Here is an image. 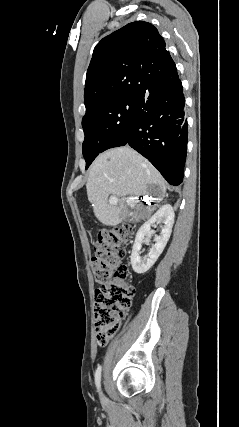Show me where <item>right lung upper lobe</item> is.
Returning <instances> with one entry per match:
<instances>
[{
  "instance_id": "cb5924a9",
  "label": "right lung upper lobe",
  "mask_w": 239,
  "mask_h": 427,
  "mask_svg": "<svg viewBox=\"0 0 239 427\" xmlns=\"http://www.w3.org/2000/svg\"><path fill=\"white\" fill-rule=\"evenodd\" d=\"M164 39L150 23L136 21L103 38L87 71L84 102L138 97L151 86L172 79L177 69Z\"/></svg>"
}]
</instances>
